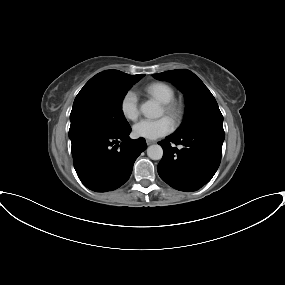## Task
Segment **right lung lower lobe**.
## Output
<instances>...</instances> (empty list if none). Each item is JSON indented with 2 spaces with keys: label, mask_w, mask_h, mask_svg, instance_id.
<instances>
[{
  "label": "right lung lower lobe",
  "mask_w": 285,
  "mask_h": 285,
  "mask_svg": "<svg viewBox=\"0 0 285 285\" xmlns=\"http://www.w3.org/2000/svg\"><path fill=\"white\" fill-rule=\"evenodd\" d=\"M130 132V127L121 132L91 128L70 137L75 170L87 188L112 191L129 179L136 158L147 148L144 138L132 140Z\"/></svg>",
  "instance_id": "obj_1"
}]
</instances>
